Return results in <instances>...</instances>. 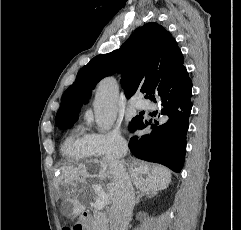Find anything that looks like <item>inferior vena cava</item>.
<instances>
[{"instance_id": "602c4592", "label": "inferior vena cava", "mask_w": 241, "mask_h": 230, "mask_svg": "<svg viewBox=\"0 0 241 230\" xmlns=\"http://www.w3.org/2000/svg\"><path fill=\"white\" fill-rule=\"evenodd\" d=\"M127 153V146L105 156L113 178L114 196L109 211L110 230H127L135 205V193L131 180L121 160Z\"/></svg>"}]
</instances>
